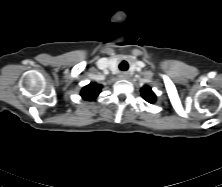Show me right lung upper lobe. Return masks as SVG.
<instances>
[{"mask_svg":"<svg viewBox=\"0 0 222 187\" xmlns=\"http://www.w3.org/2000/svg\"><path fill=\"white\" fill-rule=\"evenodd\" d=\"M101 88V85L90 83L82 89L81 96L85 100L92 101L100 94Z\"/></svg>","mask_w":222,"mask_h":187,"instance_id":"obj_1","label":"right lung upper lobe"}]
</instances>
